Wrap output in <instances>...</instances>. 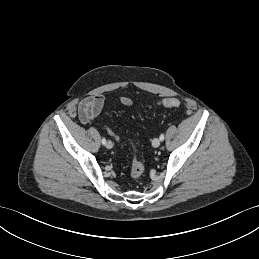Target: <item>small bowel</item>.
I'll return each instance as SVG.
<instances>
[{
	"instance_id": "1",
	"label": "small bowel",
	"mask_w": 259,
	"mask_h": 259,
	"mask_svg": "<svg viewBox=\"0 0 259 259\" xmlns=\"http://www.w3.org/2000/svg\"><path fill=\"white\" fill-rule=\"evenodd\" d=\"M125 106H131L132 101L128 98H121L119 100ZM103 96H92L84 99L79 106V116L83 123H89L95 120L104 108Z\"/></svg>"
}]
</instances>
